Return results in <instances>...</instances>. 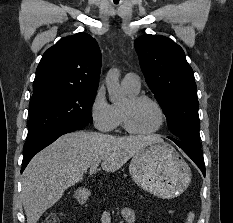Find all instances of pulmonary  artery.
<instances>
[{
    "mask_svg": "<svg viewBox=\"0 0 233 223\" xmlns=\"http://www.w3.org/2000/svg\"><path fill=\"white\" fill-rule=\"evenodd\" d=\"M122 86L125 89H140L141 83L139 76L135 73H127L122 79Z\"/></svg>",
    "mask_w": 233,
    "mask_h": 223,
    "instance_id": "pulmonary-artery-1",
    "label": "pulmonary artery"
}]
</instances>
